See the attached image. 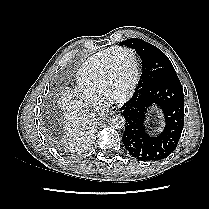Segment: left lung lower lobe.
I'll list each match as a JSON object with an SVG mask.
<instances>
[{"instance_id": "left-lung-lower-lobe-1", "label": "left lung lower lobe", "mask_w": 209, "mask_h": 209, "mask_svg": "<svg viewBox=\"0 0 209 209\" xmlns=\"http://www.w3.org/2000/svg\"><path fill=\"white\" fill-rule=\"evenodd\" d=\"M154 105L162 110L165 119V127L158 135L149 134L145 126L148 111ZM122 110L126 122L122 141L134 158L156 161L175 150L184 125V94L177 75L137 89Z\"/></svg>"}]
</instances>
